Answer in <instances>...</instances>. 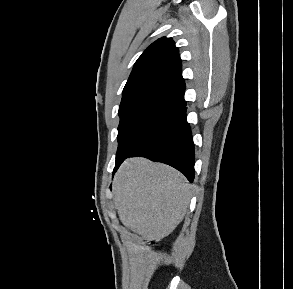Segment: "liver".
I'll return each mask as SVG.
<instances>
[{"label":"liver","instance_id":"obj_1","mask_svg":"<svg viewBox=\"0 0 293 289\" xmlns=\"http://www.w3.org/2000/svg\"><path fill=\"white\" fill-rule=\"evenodd\" d=\"M121 222L146 240L168 236L184 218L191 185L174 168L146 158L127 159L113 180Z\"/></svg>","mask_w":293,"mask_h":289}]
</instances>
